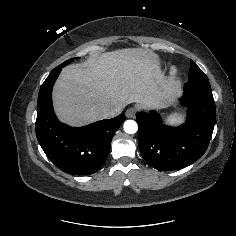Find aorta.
Returning a JSON list of instances; mask_svg holds the SVG:
<instances>
[{"label": "aorta", "instance_id": "762f6f07", "mask_svg": "<svg viewBox=\"0 0 236 236\" xmlns=\"http://www.w3.org/2000/svg\"><path fill=\"white\" fill-rule=\"evenodd\" d=\"M138 130V125L134 120H126L124 122V131L128 134H134Z\"/></svg>", "mask_w": 236, "mask_h": 236}]
</instances>
